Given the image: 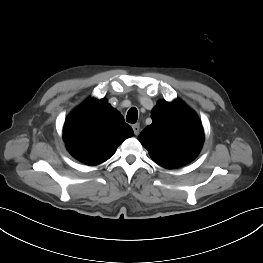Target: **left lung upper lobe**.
<instances>
[{"label":"left lung upper lobe","instance_id":"5c2ea615","mask_svg":"<svg viewBox=\"0 0 263 263\" xmlns=\"http://www.w3.org/2000/svg\"><path fill=\"white\" fill-rule=\"evenodd\" d=\"M153 120L138 136L150 157L165 168H178L199 154L204 131L196 113L181 100L159 101L151 111Z\"/></svg>","mask_w":263,"mask_h":263}]
</instances>
